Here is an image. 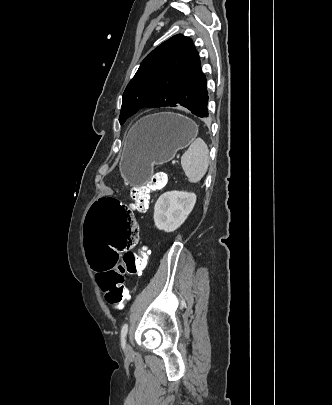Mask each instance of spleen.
<instances>
[{"mask_svg":"<svg viewBox=\"0 0 332 405\" xmlns=\"http://www.w3.org/2000/svg\"><path fill=\"white\" fill-rule=\"evenodd\" d=\"M181 165L191 183L199 182L209 166V149L201 138H196L181 157Z\"/></svg>","mask_w":332,"mask_h":405,"instance_id":"3e777b00","label":"spleen"}]
</instances>
